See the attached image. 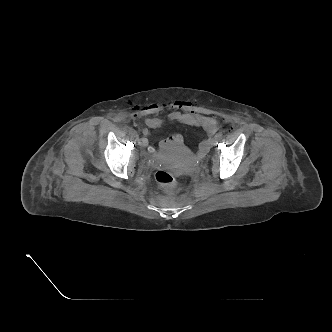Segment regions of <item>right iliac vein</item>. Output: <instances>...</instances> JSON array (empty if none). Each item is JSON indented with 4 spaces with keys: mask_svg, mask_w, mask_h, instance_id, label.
Listing matches in <instances>:
<instances>
[{
    "mask_svg": "<svg viewBox=\"0 0 332 332\" xmlns=\"http://www.w3.org/2000/svg\"><path fill=\"white\" fill-rule=\"evenodd\" d=\"M130 133H131L132 136L137 137V132L136 131L132 130Z\"/></svg>",
    "mask_w": 332,
    "mask_h": 332,
    "instance_id": "1",
    "label": "right iliac vein"
}]
</instances>
